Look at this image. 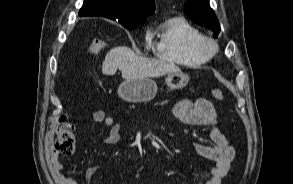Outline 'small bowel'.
Instances as JSON below:
<instances>
[{
  "label": "small bowel",
  "instance_id": "obj_1",
  "mask_svg": "<svg viewBox=\"0 0 293 184\" xmlns=\"http://www.w3.org/2000/svg\"><path fill=\"white\" fill-rule=\"evenodd\" d=\"M172 113L186 125L204 126L209 129L211 144L195 142L193 148L198 155L215 163L211 169L210 177L204 184H221L223 178L231 169L235 158V150L218 128V118L213 104L206 98H198L195 101L183 99L173 106ZM90 118L92 121L103 123L110 128L104 138L106 144L113 145L118 142L121 125L115 124L112 117L107 116L102 110H95L91 113ZM50 168L58 184H78L74 178L62 173L64 166L58 157H52ZM100 169H102L101 166L87 168L84 172L85 183L92 184L93 176Z\"/></svg>",
  "mask_w": 293,
  "mask_h": 184
}]
</instances>
